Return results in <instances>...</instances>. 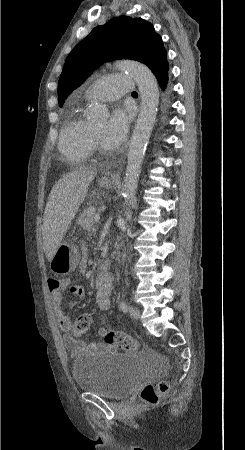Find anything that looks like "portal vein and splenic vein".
Returning <instances> with one entry per match:
<instances>
[{"mask_svg":"<svg viewBox=\"0 0 245 450\" xmlns=\"http://www.w3.org/2000/svg\"><path fill=\"white\" fill-rule=\"evenodd\" d=\"M100 220V214H95L94 221L98 222Z\"/></svg>","mask_w":245,"mask_h":450,"instance_id":"portal-vein-and-splenic-vein-1","label":"portal vein and splenic vein"}]
</instances>
